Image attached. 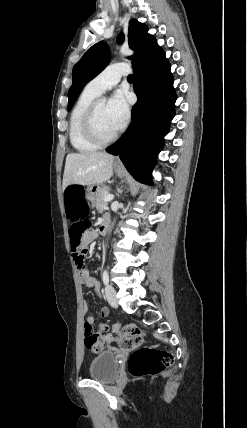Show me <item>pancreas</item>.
I'll list each match as a JSON object with an SVG mask.
<instances>
[{"mask_svg": "<svg viewBox=\"0 0 247 428\" xmlns=\"http://www.w3.org/2000/svg\"><path fill=\"white\" fill-rule=\"evenodd\" d=\"M109 190L110 188L107 186H101V188L98 190L96 200L93 203L98 212H103L107 207V202L104 200V198L109 194Z\"/></svg>", "mask_w": 247, "mask_h": 428, "instance_id": "1", "label": "pancreas"}]
</instances>
